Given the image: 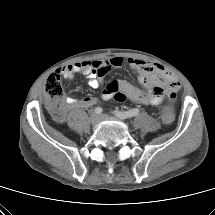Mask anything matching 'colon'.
Here are the masks:
<instances>
[{"label": "colon", "mask_w": 215, "mask_h": 215, "mask_svg": "<svg viewBox=\"0 0 215 215\" xmlns=\"http://www.w3.org/2000/svg\"><path fill=\"white\" fill-rule=\"evenodd\" d=\"M45 94L52 114L56 117H60L63 113L64 89L58 74H53L47 79ZM167 97L169 105L166 106L159 115V122L161 124H170L174 120V113L170 110V104L176 97V91L169 90L167 92Z\"/></svg>", "instance_id": "obj_1"}]
</instances>
